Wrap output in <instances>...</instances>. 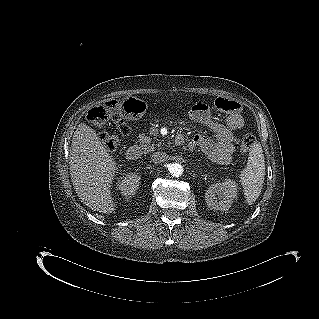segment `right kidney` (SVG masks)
<instances>
[{
    "mask_svg": "<svg viewBox=\"0 0 319 319\" xmlns=\"http://www.w3.org/2000/svg\"><path fill=\"white\" fill-rule=\"evenodd\" d=\"M135 190H136V188H135V187H132V188L130 189L129 193H126V194H128V195H133V194L135 193Z\"/></svg>",
    "mask_w": 319,
    "mask_h": 319,
    "instance_id": "right-kidney-1",
    "label": "right kidney"
}]
</instances>
